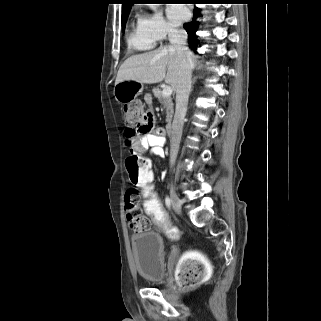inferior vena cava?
I'll use <instances>...</instances> for the list:
<instances>
[{
	"mask_svg": "<svg viewBox=\"0 0 321 321\" xmlns=\"http://www.w3.org/2000/svg\"><path fill=\"white\" fill-rule=\"evenodd\" d=\"M168 38L179 57L180 75L176 86V109L172 123L170 138V166L175 164L182 136L184 118L187 111L188 98L191 90L192 59L186 46L187 33L184 30L170 29Z\"/></svg>",
	"mask_w": 321,
	"mask_h": 321,
	"instance_id": "602c4592",
	"label": "inferior vena cava"
}]
</instances>
